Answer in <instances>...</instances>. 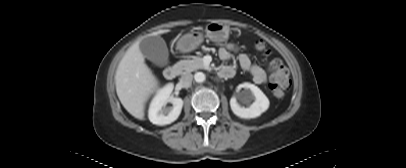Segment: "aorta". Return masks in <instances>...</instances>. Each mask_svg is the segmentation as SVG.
<instances>
[{
  "label": "aorta",
  "mask_w": 406,
  "mask_h": 168,
  "mask_svg": "<svg viewBox=\"0 0 406 168\" xmlns=\"http://www.w3.org/2000/svg\"><path fill=\"white\" fill-rule=\"evenodd\" d=\"M194 79H195L196 82L201 83V82H204V81H205L206 76H205V74L202 73V72H197V73H195V75H194Z\"/></svg>",
  "instance_id": "aorta-1"
}]
</instances>
